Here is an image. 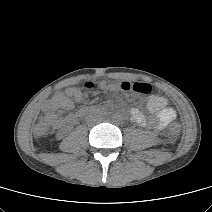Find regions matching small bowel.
<instances>
[{"instance_id":"small-bowel-1","label":"small bowel","mask_w":212,"mask_h":212,"mask_svg":"<svg viewBox=\"0 0 212 212\" xmlns=\"http://www.w3.org/2000/svg\"><path fill=\"white\" fill-rule=\"evenodd\" d=\"M80 99L81 93L75 88H68L54 93L42 106L45 120L57 128L76 124L79 119V113L67 114V112L73 109L74 101H79ZM146 107L149 112L156 116L152 126L157 130L166 128L176 119L175 110L167 105V100L163 96L151 95ZM130 116L135 123L141 126L150 125L145 115L138 109H132Z\"/></svg>"}]
</instances>
